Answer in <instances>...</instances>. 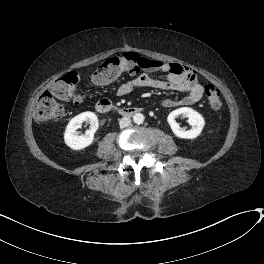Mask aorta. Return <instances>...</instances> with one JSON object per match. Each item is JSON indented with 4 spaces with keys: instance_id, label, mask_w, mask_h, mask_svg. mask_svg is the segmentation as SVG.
Segmentation results:
<instances>
[{
    "instance_id": "obj_1",
    "label": "aorta",
    "mask_w": 264,
    "mask_h": 264,
    "mask_svg": "<svg viewBox=\"0 0 264 264\" xmlns=\"http://www.w3.org/2000/svg\"><path fill=\"white\" fill-rule=\"evenodd\" d=\"M144 119H145V117L141 113H136V114L133 115V122L136 123V124L143 123Z\"/></svg>"
}]
</instances>
